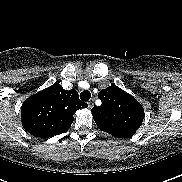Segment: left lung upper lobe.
<instances>
[{"label":"left lung upper lobe","mask_w":182,"mask_h":182,"mask_svg":"<svg viewBox=\"0 0 182 182\" xmlns=\"http://www.w3.org/2000/svg\"><path fill=\"white\" fill-rule=\"evenodd\" d=\"M98 98L101 106L91 109L98 128L116 137H132L144 120L142 105L115 84L101 90Z\"/></svg>","instance_id":"1"}]
</instances>
